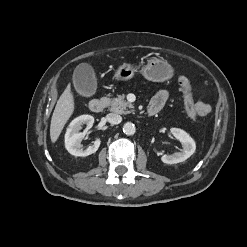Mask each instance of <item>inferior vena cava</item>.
Returning a JSON list of instances; mask_svg holds the SVG:
<instances>
[{"mask_svg":"<svg viewBox=\"0 0 247 247\" xmlns=\"http://www.w3.org/2000/svg\"><path fill=\"white\" fill-rule=\"evenodd\" d=\"M106 119L109 123H111L113 125L119 124L122 121V117L116 113L107 114Z\"/></svg>","mask_w":247,"mask_h":247,"instance_id":"inferior-vena-cava-1","label":"inferior vena cava"}]
</instances>
